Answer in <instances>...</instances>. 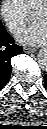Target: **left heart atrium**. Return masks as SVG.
<instances>
[{"mask_svg":"<svg viewBox=\"0 0 47 129\" xmlns=\"http://www.w3.org/2000/svg\"><path fill=\"white\" fill-rule=\"evenodd\" d=\"M16 39L27 45H41L47 39V26L44 22L31 23L16 32Z\"/></svg>","mask_w":47,"mask_h":129,"instance_id":"obj_1","label":"left heart atrium"}]
</instances>
